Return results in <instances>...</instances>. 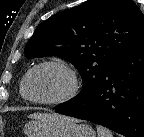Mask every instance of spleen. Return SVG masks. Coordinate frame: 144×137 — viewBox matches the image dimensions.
I'll use <instances>...</instances> for the list:
<instances>
[{"label":"spleen","instance_id":"1","mask_svg":"<svg viewBox=\"0 0 144 137\" xmlns=\"http://www.w3.org/2000/svg\"><path fill=\"white\" fill-rule=\"evenodd\" d=\"M97 132L99 137H113V134L110 130L107 128L97 125Z\"/></svg>","mask_w":144,"mask_h":137}]
</instances>
